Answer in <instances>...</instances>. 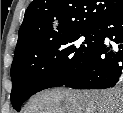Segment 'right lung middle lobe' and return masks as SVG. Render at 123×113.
<instances>
[{
  "label": "right lung middle lobe",
  "instance_id": "dd1d6c3e",
  "mask_svg": "<svg viewBox=\"0 0 123 113\" xmlns=\"http://www.w3.org/2000/svg\"><path fill=\"white\" fill-rule=\"evenodd\" d=\"M101 41L98 27L70 30L17 46L11 66V103L20 111L33 94L75 79Z\"/></svg>",
  "mask_w": 123,
  "mask_h": 113
}]
</instances>
